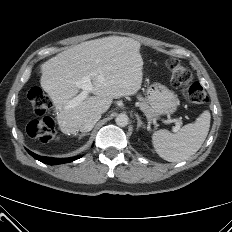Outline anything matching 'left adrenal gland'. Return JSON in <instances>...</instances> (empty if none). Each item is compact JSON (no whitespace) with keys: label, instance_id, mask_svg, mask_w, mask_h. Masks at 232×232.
Instances as JSON below:
<instances>
[{"label":"left adrenal gland","instance_id":"obj_1","mask_svg":"<svg viewBox=\"0 0 232 232\" xmlns=\"http://www.w3.org/2000/svg\"><path fill=\"white\" fill-rule=\"evenodd\" d=\"M135 116H136V118H137V131H138L140 128H145V126L143 125V122L141 121L139 115L136 114Z\"/></svg>","mask_w":232,"mask_h":232}]
</instances>
